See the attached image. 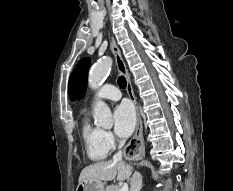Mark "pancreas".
Wrapping results in <instances>:
<instances>
[{
    "mask_svg": "<svg viewBox=\"0 0 233 191\" xmlns=\"http://www.w3.org/2000/svg\"><path fill=\"white\" fill-rule=\"evenodd\" d=\"M121 187L118 185L108 186L106 191H120Z\"/></svg>",
    "mask_w": 233,
    "mask_h": 191,
    "instance_id": "obj_1",
    "label": "pancreas"
}]
</instances>
